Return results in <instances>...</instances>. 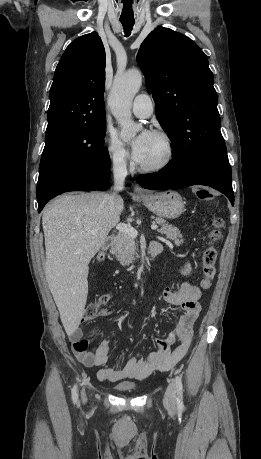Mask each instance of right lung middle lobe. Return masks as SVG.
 I'll return each mask as SVG.
<instances>
[{
    "label": "right lung middle lobe",
    "mask_w": 261,
    "mask_h": 459,
    "mask_svg": "<svg viewBox=\"0 0 261 459\" xmlns=\"http://www.w3.org/2000/svg\"><path fill=\"white\" fill-rule=\"evenodd\" d=\"M106 119L95 124L46 132L37 192L57 176L81 168H110L104 148Z\"/></svg>",
    "instance_id": "right-lung-middle-lobe-1"
}]
</instances>
